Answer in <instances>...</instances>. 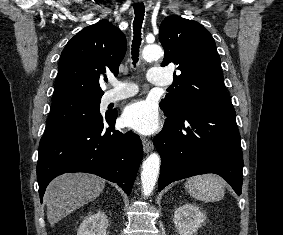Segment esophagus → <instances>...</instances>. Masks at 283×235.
Masks as SVG:
<instances>
[{"instance_id": "esophagus-1", "label": "esophagus", "mask_w": 283, "mask_h": 235, "mask_svg": "<svg viewBox=\"0 0 283 235\" xmlns=\"http://www.w3.org/2000/svg\"><path fill=\"white\" fill-rule=\"evenodd\" d=\"M143 150L145 153H149L153 150V142L148 138H142Z\"/></svg>"}]
</instances>
